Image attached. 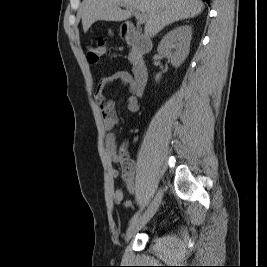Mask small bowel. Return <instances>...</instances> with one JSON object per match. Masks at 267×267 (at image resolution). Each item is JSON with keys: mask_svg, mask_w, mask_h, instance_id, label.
Here are the masks:
<instances>
[{"mask_svg": "<svg viewBox=\"0 0 267 267\" xmlns=\"http://www.w3.org/2000/svg\"><path fill=\"white\" fill-rule=\"evenodd\" d=\"M116 81H120L128 87L129 95L126 99L127 110L131 113L137 112L139 110V103L133 90L134 80L127 71H117L112 75L104 77L95 92V99L100 104L103 128L106 131L104 147L107 157L112 163L121 164L126 188L131 194H134L137 191V184L135 181L136 164L131 159H122L117 152L116 137L111 131L117 126L119 119L115 110L114 101L105 100L104 98L105 88ZM109 175L112 179H116L119 176V171L115 168H110ZM112 198L116 204L122 203L125 208H129L132 205L131 200H124V193L121 189H114Z\"/></svg>", "mask_w": 267, "mask_h": 267, "instance_id": "1", "label": "small bowel"}]
</instances>
